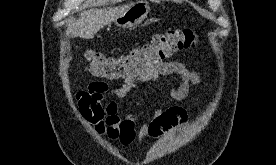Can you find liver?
Here are the masks:
<instances>
[{
  "instance_id": "6515ba94",
  "label": "liver",
  "mask_w": 276,
  "mask_h": 165,
  "mask_svg": "<svg viewBox=\"0 0 276 165\" xmlns=\"http://www.w3.org/2000/svg\"><path fill=\"white\" fill-rule=\"evenodd\" d=\"M132 5L133 3L84 11L81 13V17L76 25L70 30V34L72 37L91 39L100 29L115 21L116 18L121 16Z\"/></svg>"
}]
</instances>
